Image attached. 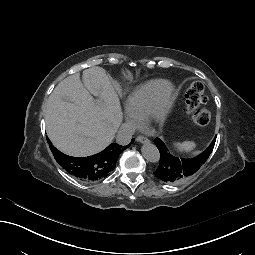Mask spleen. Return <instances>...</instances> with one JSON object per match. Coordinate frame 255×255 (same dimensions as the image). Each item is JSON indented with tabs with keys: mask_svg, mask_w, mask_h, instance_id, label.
Returning a JSON list of instances; mask_svg holds the SVG:
<instances>
[{
	"mask_svg": "<svg viewBox=\"0 0 255 255\" xmlns=\"http://www.w3.org/2000/svg\"><path fill=\"white\" fill-rule=\"evenodd\" d=\"M174 145L180 152H191L196 147L193 141H184L182 143H175Z\"/></svg>",
	"mask_w": 255,
	"mask_h": 255,
	"instance_id": "3e777b00",
	"label": "spleen"
}]
</instances>
